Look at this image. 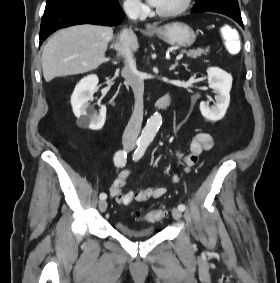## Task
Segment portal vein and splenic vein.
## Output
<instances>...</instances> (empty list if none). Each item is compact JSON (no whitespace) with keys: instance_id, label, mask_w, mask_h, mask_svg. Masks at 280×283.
Masks as SVG:
<instances>
[{"instance_id":"1","label":"portal vein and splenic vein","mask_w":280,"mask_h":283,"mask_svg":"<svg viewBox=\"0 0 280 283\" xmlns=\"http://www.w3.org/2000/svg\"><path fill=\"white\" fill-rule=\"evenodd\" d=\"M184 53H180L179 55L176 56V61H179L183 58Z\"/></svg>"}]
</instances>
